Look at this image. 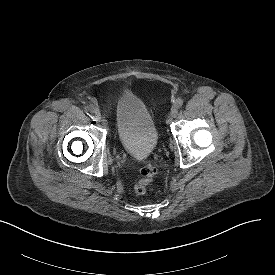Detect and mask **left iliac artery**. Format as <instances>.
I'll return each instance as SVG.
<instances>
[{
	"label": "left iliac artery",
	"mask_w": 275,
	"mask_h": 275,
	"mask_svg": "<svg viewBox=\"0 0 275 275\" xmlns=\"http://www.w3.org/2000/svg\"><path fill=\"white\" fill-rule=\"evenodd\" d=\"M175 105H176L178 108L182 107V105H183V100L180 99V98L176 99Z\"/></svg>",
	"instance_id": "1"
}]
</instances>
